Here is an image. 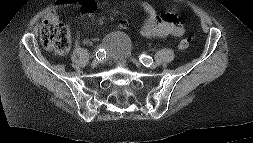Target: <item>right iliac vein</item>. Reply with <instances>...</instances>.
<instances>
[{"instance_id":"right-iliac-vein-1","label":"right iliac vein","mask_w":253,"mask_h":143,"mask_svg":"<svg viewBox=\"0 0 253 143\" xmlns=\"http://www.w3.org/2000/svg\"><path fill=\"white\" fill-rule=\"evenodd\" d=\"M92 67H97V65H98V61L96 60V59H94L93 61H92Z\"/></svg>"}]
</instances>
